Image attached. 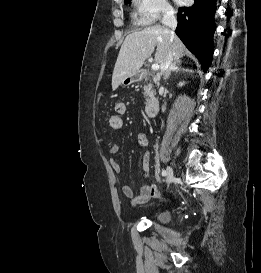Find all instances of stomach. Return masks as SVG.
<instances>
[{
  "label": "stomach",
  "instance_id": "1",
  "mask_svg": "<svg viewBox=\"0 0 261 273\" xmlns=\"http://www.w3.org/2000/svg\"><path fill=\"white\" fill-rule=\"evenodd\" d=\"M140 79H141V74H140V71H139V72H138L137 74H135L134 76L125 78V79L122 81V84H123V85H129V84H131V83H133V82L139 81Z\"/></svg>",
  "mask_w": 261,
  "mask_h": 273
}]
</instances>
